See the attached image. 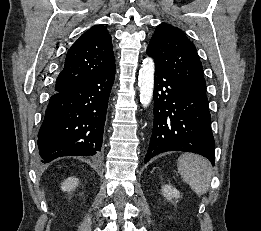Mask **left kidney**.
Returning <instances> with one entry per match:
<instances>
[{"mask_svg":"<svg viewBox=\"0 0 261 231\" xmlns=\"http://www.w3.org/2000/svg\"><path fill=\"white\" fill-rule=\"evenodd\" d=\"M162 193L164 195V197L167 199V200H172V199H178L180 198V193L179 191L176 189V188H173L172 186L170 185H164L162 187Z\"/></svg>","mask_w":261,"mask_h":231,"instance_id":"1","label":"left kidney"}]
</instances>
